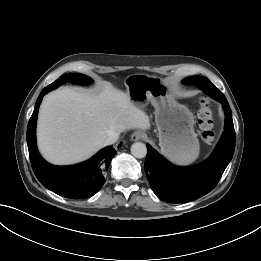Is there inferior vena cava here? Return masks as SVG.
I'll use <instances>...</instances> for the list:
<instances>
[{
  "label": "inferior vena cava",
  "mask_w": 261,
  "mask_h": 261,
  "mask_svg": "<svg viewBox=\"0 0 261 261\" xmlns=\"http://www.w3.org/2000/svg\"><path fill=\"white\" fill-rule=\"evenodd\" d=\"M119 139V134L118 133H113L111 134L109 137H107L104 141V146H108L111 144H114L115 142H117Z\"/></svg>",
  "instance_id": "602c4592"
}]
</instances>
